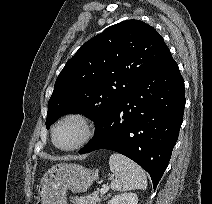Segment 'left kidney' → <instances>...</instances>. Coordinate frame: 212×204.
Here are the masks:
<instances>
[{"label":"left kidney","mask_w":212,"mask_h":204,"mask_svg":"<svg viewBox=\"0 0 212 204\" xmlns=\"http://www.w3.org/2000/svg\"><path fill=\"white\" fill-rule=\"evenodd\" d=\"M108 204H138V196L135 193H122L114 196Z\"/></svg>","instance_id":"5707ae66"}]
</instances>
